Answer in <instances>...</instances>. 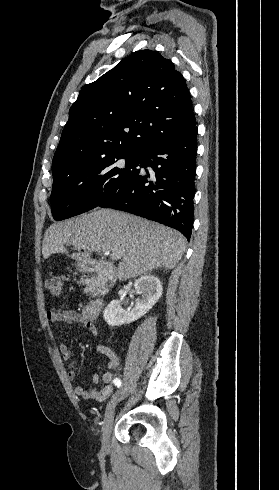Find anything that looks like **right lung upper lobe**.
Returning <instances> with one entry per match:
<instances>
[{"label":"right lung upper lobe","instance_id":"obj_1","mask_svg":"<svg viewBox=\"0 0 279 490\" xmlns=\"http://www.w3.org/2000/svg\"><path fill=\"white\" fill-rule=\"evenodd\" d=\"M195 127L174 64L152 50L134 52L81 89L53 157V178L112 151L142 156Z\"/></svg>","mask_w":279,"mask_h":490}]
</instances>
